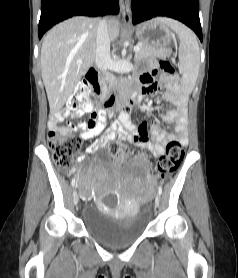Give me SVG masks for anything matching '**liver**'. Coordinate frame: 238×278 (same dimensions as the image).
Masks as SVG:
<instances>
[{"mask_svg": "<svg viewBox=\"0 0 238 278\" xmlns=\"http://www.w3.org/2000/svg\"><path fill=\"white\" fill-rule=\"evenodd\" d=\"M99 20L73 17L53 27L41 47V75L50 112H58L73 94L82 76L93 65ZM111 41L119 36V22L109 19ZM81 62H78L80 61Z\"/></svg>", "mask_w": 238, "mask_h": 278, "instance_id": "liver-1", "label": "liver"}]
</instances>
